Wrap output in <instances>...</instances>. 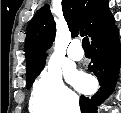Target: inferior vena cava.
<instances>
[{
    "instance_id": "1",
    "label": "inferior vena cava",
    "mask_w": 121,
    "mask_h": 113,
    "mask_svg": "<svg viewBox=\"0 0 121 113\" xmlns=\"http://www.w3.org/2000/svg\"><path fill=\"white\" fill-rule=\"evenodd\" d=\"M70 113H80L79 103L77 101L70 105Z\"/></svg>"
}]
</instances>
